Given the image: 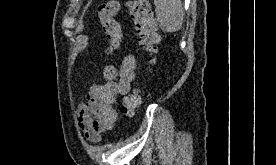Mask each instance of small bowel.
Masks as SVG:
<instances>
[{"mask_svg": "<svg viewBox=\"0 0 276 165\" xmlns=\"http://www.w3.org/2000/svg\"><path fill=\"white\" fill-rule=\"evenodd\" d=\"M135 70L136 58L132 54L124 57L119 68L107 65L103 70L105 82L93 84L86 101L78 106V123L90 142H99L102 134L114 127L116 98L128 94L135 80Z\"/></svg>", "mask_w": 276, "mask_h": 165, "instance_id": "c3829d8e", "label": "small bowel"}]
</instances>
